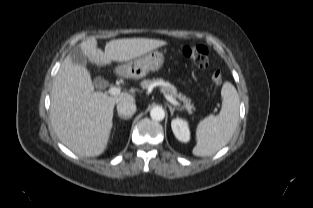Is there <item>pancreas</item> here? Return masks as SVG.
<instances>
[{
    "instance_id": "obj_1",
    "label": "pancreas",
    "mask_w": 313,
    "mask_h": 208,
    "mask_svg": "<svg viewBox=\"0 0 313 208\" xmlns=\"http://www.w3.org/2000/svg\"><path fill=\"white\" fill-rule=\"evenodd\" d=\"M157 84L162 86V91L166 94L178 98L180 101L184 102V107L191 112L193 105L190 103V99H188L186 96H183L182 94L178 93L177 90L174 87L165 86V82L162 79H152V80H144L141 82V86L143 89H147L149 86L153 84Z\"/></svg>"
}]
</instances>
